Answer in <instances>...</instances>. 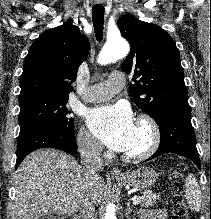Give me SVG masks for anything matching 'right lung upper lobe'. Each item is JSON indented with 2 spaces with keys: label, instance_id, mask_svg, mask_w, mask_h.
<instances>
[{
  "label": "right lung upper lobe",
  "instance_id": "right-lung-upper-lobe-1",
  "mask_svg": "<svg viewBox=\"0 0 211 219\" xmlns=\"http://www.w3.org/2000/svg\"><path fill=\"white\" fill-rule=\"evenodd\" d=\"M89 41L67 22L43 32L32 44L20 76L19 101L35 97H69Z\"/></svg>",
  "mask_w": 211,
  "mask_h": 219
}]
</instances>
